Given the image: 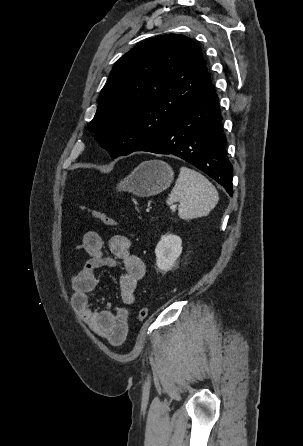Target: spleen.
<instances>
[{"instance_id":"3e777b00","label":"spleen","mask_w":303,"mask_h":446,"mask_svg":"<svg viewBox=\"0 0 303 446\" xmlns=\"http://www.w3.org/2000/svg\"><path fill=\"white\" fill-rule=\"evenodd\" d=\"M218 200L216 188L205 176L193 169L181 167L166 203L171 205L178 201V215L187 220L207 216Z\"/></svg>"}]
</instances>
